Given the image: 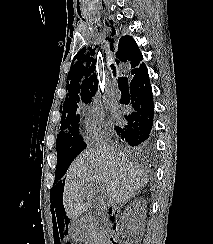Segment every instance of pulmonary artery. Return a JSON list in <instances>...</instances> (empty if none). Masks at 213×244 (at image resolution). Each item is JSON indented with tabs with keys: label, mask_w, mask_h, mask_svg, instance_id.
Wrapping results in <instances>:
<instances>
[{
	"label": "pulmonary artery",
	"mask_w": 213,
	"mask_h": 244,
	"mask_svg": "<svg viewBox=\"0 0 213 244\" xmlns=\"http://www.w3.org/2000/svg\"><path fill=\"white\" fill-rule=\"evenodd\" d=\"M109 95L112 96L113 98H119L120 97V92L116 87H111L109 90Z\"/></svg>",
	"instance_id": "e3ab8cb5"
}]
</instances>
